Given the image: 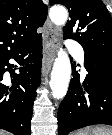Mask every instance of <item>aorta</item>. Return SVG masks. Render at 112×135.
Instances as JSON below:
<instances>
[{"mask_svg": "<svg viewBox=\"0 0 112 135\" xmlns=\"http://www.w3.org/2000/svg\"><path fill=\"white\" fill-rule=\"evenodd\" d=\"M49 16L58 26H63L68 19V12L63 6H53ZM71 77V63L67 52L60 49L51 72L50 88L55 99H62L68 90Z\"/></svg>", "mask_w": 112, "mask_h": 135, "instance_id": "obj_1", "label": "aorta"}]
</instances>
